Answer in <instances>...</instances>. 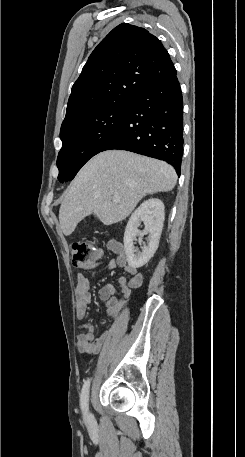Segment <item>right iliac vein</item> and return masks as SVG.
Listing matches in <instances>:
<instances>
[{"label":"right iliac vein","mask_w":245,"mask_h":457,"mask_svg":"<svg viewBox=\"0 0 245 457\" xmlns=\"http://www.w3.org/2000/svg\"><path fill=\"white\" fill-rule=\"evenodd\" d=\"M86 420L88 423H91L94 420L93 415L90 411H87L86 413Z\"/></svg>","instance_id":"63e3f726"}]
</instances>
